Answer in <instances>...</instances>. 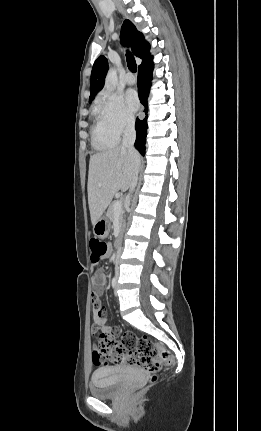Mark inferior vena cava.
<instances>
[{
    "mask_svg": "<svg viewBox=\"0 0 261 431\" xmlns=\"http://www.w3.org/2000/svg\"><path fill=\"white\" fill-rule=\"evenodd\" d=\"M136 139V132H135V119L133 117H130L126 121V127L123 134V141H122V148L127 149L131 154H137L136 149L134 148V142ZM138 180V169L135 171V174L133 176L131 185H130V191H133L136 187ZM130 198V196H128ZM121 254V247L117 250V256H116V274H118V259Z\"/></svg>",
    "mask_w": 261,
    "mask_h": 431,
    "instance_id": "602c4592",
    "label": "inferior vena cava"
}]
</instances>
